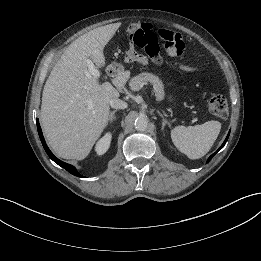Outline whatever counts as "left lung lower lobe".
Instances as JSON below:
<instances>
[{"label":"left lung lower lobe","mask_w":261,"mask_h":261,"mask_svg":"<svg viewBox=\"0 0 261 261\" xmlns=\"http://www.w3.org/2000/svg\"><path fill=\"white\" fill-rule=\"evenodd\" d=\"M228 137H229V134L227 135V137H226L225 141L223 142V144L221 145V147H220L214 154H212V155L208 158L207 162H209V161L213 158V156H214L221 148L224 147V145H225L226 142H227Z\"/></svg>","instance_id":"obj_1"}]
</instances>
